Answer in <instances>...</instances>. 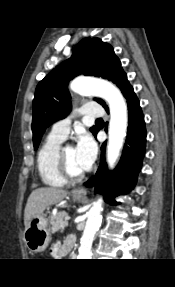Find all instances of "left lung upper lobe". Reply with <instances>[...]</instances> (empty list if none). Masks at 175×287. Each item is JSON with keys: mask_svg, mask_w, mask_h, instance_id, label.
I'll return each instance as SVG.
<instances>
[{"mask_svg": "<svg viewBox=\"0 0 175 287\" xmlns=\"http://www.w3.org/2000/svg\"><path fill=\"white\" fill-rule=\"evenodd\" d=\"M80 73L108 79L122 93L130 86L113 47L99 38L83 39L75 47L72 56L50 72L36 88L32 121L34 149H37L45 129L69 114L71 96L67 85ZM95 100L108 110L102 99ZM90 131L95 135L98 130L92 127Z\"/></svg>", "mask_w": 175, "mask_h": 287, "instance_id": "left-lung-upper-lobe-1", "label": "left lung upper lobe"}]
</instances>
